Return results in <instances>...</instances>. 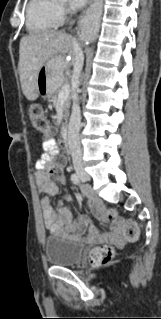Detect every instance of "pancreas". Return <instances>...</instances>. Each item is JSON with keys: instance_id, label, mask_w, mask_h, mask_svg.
<instances>
[{"instance_id": "pancreas-1", "label": "pancreas", "mask_w": 161, "mask_h": 319, "mask_svg": "<svg viewBox=\"0 0 161 319\" xmlns=\"http://www.w3.org/2000/svg\"><path fill=\"white\" fill-rule=\"evenodd\" d=\"M58 94H59V91H57L55 94L52 95V102L54 105H56L58 103ZM69 105H70V98L67 97L65 100H64V103H63V118L66 120L67 117H68V108H69Z\"/></svg>"}]
</instances>
